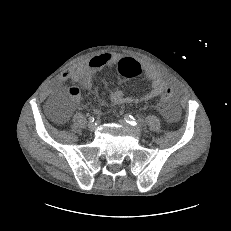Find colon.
<instances>
[{
    "label": "colon",
    "instance_id": "5ec220e1",
    "mask_svg": "<svg viewBox=\"0 0 231 231\" xmlns=\"http://www.w3.org/2000/svg\"><path fill=\"white\" fill-rule=\"evenodd\" d=\"M117 73L125 78H131L143 73V68L137 61L131 58H123L117 64ZM163 101L167 102L174 94V88L171 85H166L163 88Z\"/></svg>",
    "mask_w": 231,
    "mask_h": 231
}]
</instances>
